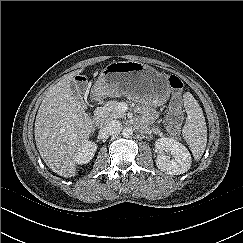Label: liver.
Instances as JSON below:
<instances>
[{
	"label": "liver",
	"mask_w": 243,
	"mask_h": 243,
	"mask_svg": "<svg viewBox=\"0 0 243 243\" xmlns=\"http://www.w3.org/2000/svg\"><path fill=\"white\" fill-rule=\"evenodd\" d=\"M73 71L51 87L35 120V141L41 158L55 173L65 178L76 175V154L82 143L94 132L92 119L71 88Z\"/></svg>",
	"instance_id": "6515ba94"
}]
</instances>
